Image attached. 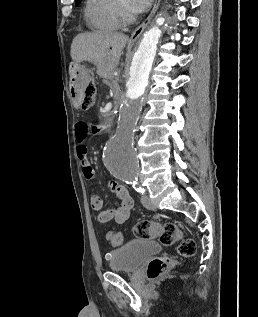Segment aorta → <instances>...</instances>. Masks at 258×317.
<instances>
[{"label":"aorta","instance_id":"obj_1","mask_svg":"<svg viewBox=\"0 0 258 317\" xmlns=\"http://www.w3.org/2000/svg\"><path fill=\"white\" fill-rule=\"evenodd\" d=\"M163 22V18L156 21L158 26ZM158 26H153L144 34L133 56L125 99L119 110L116 134L108 141L103 156L109 172L122 180H134L139 171L138 156L133 144L134 132L142 110V95L149 82L161 36Z\"/></svg>","mask_w":258,"mask_h":317}]
</instances>
